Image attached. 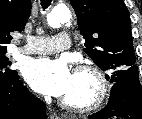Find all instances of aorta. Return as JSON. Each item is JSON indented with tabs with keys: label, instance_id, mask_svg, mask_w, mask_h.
I'll list each match as a JSON object with an SVG mask.
<instances>
[{
	"label": "aorta",
	"instance_id": "762f6f07",
	"mask_svg": "<svg viewBox=\"0 0 142 119\" xmlns=\"http://www.w3.org/2000/svg\"><path fill=\"white\" fill-rule=\"evenodd\" d=\"M71 18L70 10L65 6H57L47 15V23L52 28H59Z\"/></svg>",
	"mask_w": 142,
	"mask_h": 119
}]
</instances>
